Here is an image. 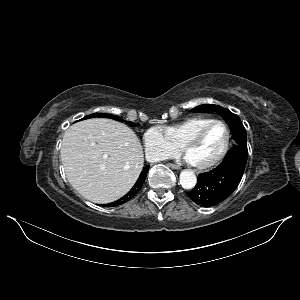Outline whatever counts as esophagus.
I'll list each match as a JSON object with an SVG mask.
<instances>
[{"label":"esophagus","instance_id":"obj_1","mask_svg":"<svg viewBox=\"0 0 300 300\" xmlns=\"http://www.w3.org/2000/svg\"><path fill=\"white\" fill-rule=\"evenodd\" d=\"M169 166H170L171 168H173V169H176V170H179V169L181 168L179 165H177V164H172V163H170Z\"/></svg>","mask_w":300,"mask_h":300}]
</instances>
